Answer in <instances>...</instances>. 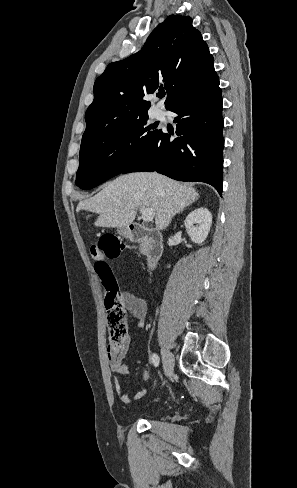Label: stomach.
<instances>
[{
    "mask_svg": "<svg viewBox=\"0 0 297 488\" xmlns=\"http://www.w3.org/2000/svg\"><path fill=\"white\" fill-rule=\"evenodd\" d=\"M119 233H120L122 236H127V235H128L127 228H120V229H119Z\"/></svg>",
    "mask_w": 297,
    "mask_h": 488,
    "instance_id": "0dacf381",
    "label": "stomach"
}]
</instances>
